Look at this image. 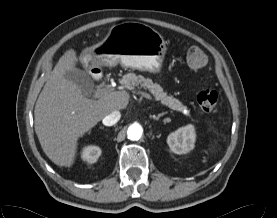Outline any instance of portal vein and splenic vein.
Masks as SVG:
<instances>
[{"label": "portal vein and splenic vein", "mask_w": 277, "mask_h": 218, "mask_svg": "<svg viewBox=\"0 0 277 218\" xmlns=\"http://www.w3.org/2000/svg\"><path fill=\"white\" fill-rule=\"evenodd\" d=\"M113 89L110 88V87H106V88H102V89H98L97 91H95V93L93 94V97L94 98H100L102 95L108 93V92H111ZM138 94L142 95L143 97L149 99V100H152V97L148 94V93H145V92H142V91H138Z\"/></svg>", "instance_id": "1"}]
</instances>
